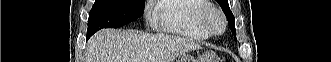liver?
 <instances>
[{
	"instance_id": "6515ba94",
	"label": "liver",
	"mask_w": 331,
	"mask_h": 62,
	"mask_svg": "<svg viewBox=\"0 0 331 62\" xmlns=\"http://www.w3.org/2000/svg\"><path fill=\"white\" fill-rule=\"evenodd\" d=\"M199 47L192 40L174 35L105 29L89 41L86 62H171Z\"/></svg>"
}]
</instances>
